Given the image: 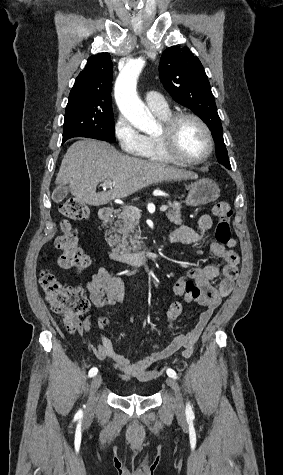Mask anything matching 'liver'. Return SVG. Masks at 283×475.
I'll use <instances>...</instances> for the list:
<instances>
[{
  "label": "liver",
  "instance_id": "6515ba94",
  "mask_svg": "<svg viewBox=\"0 0 283 475\" xmlns=\"http://www.w3.org/2000/svg\"><path fill=\"white\" fill-rule=\"evenodd\" d=\"M196 178L194 172L120 154L107 142L80 140L68 148L55 184H59L58 188L69 184L71 194L79 204L103 206L111 200L127 198L150 184ZM104 180H112L115 184L108 192L97 194V184Z\"/></svg>",
  "mask_w": 283,
  "mask_h": 475
}]
</instances>
